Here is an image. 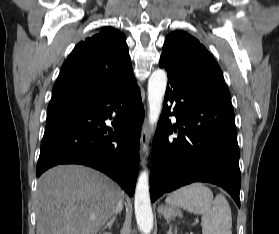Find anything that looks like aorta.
Segmentation results:
<instances>
[{
	"label": "aorta",
	"mask_w": 279,
	"mask_h": 234,
	"mask_svg": "<svg viewBox=\"0 0 279 234\" xmlns=\"http://www.w3.org/2000/svg\"><path fill=\"white\" fill-rule=\"evenodd\" d=\"M166 86V71L163 69L153 71L148 80V116L149 123L152 126L156 125L159 120ZM134 208L139 229L144 234H149L153 228V213L149 193L148 171H142L138 177L135 189Z\"/></svg>",
	"instance_id": "1"
}]
</instances>
